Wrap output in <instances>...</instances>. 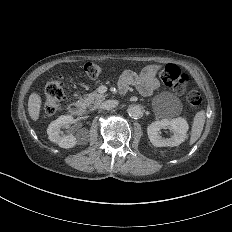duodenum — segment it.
<instances>
[{"label":"duodenum","mask_w":232,"mask_h":232,"mask_svg":"<svg viewBox=\"0 0 232 232\" xmlns=\"http://www.w3.org/2000/svg\"><path fill=\"white\" fill-rule=\"evenodd\" d=\"M69 112L74 116H81L84 112V107L80 102H73L69 105Z\"/></svg>","instance_id":"410a0bca"}]
</instances>
